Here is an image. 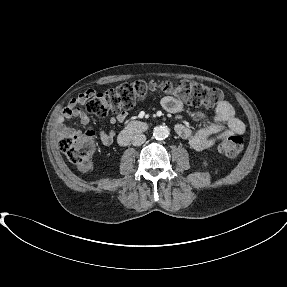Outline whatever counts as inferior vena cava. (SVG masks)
<instances>
[{
  "label": "inferior vena cava",
  "instance_id": "inferior-vena-cava-1",
  "mask_svg": "<svg viewBox=\"0 0 287 287\" xmlns=\"http://www.w3.org/2000/svg\"><path fill=\"white\" fill-rule=\"evenodd\" d=\"M146 141V136L144 134H135L133 137H132V144L134 146H140L142 145L144 142Z\"/></svg>",
  "mask_w": 287,
  "mask_h": 287
}]
</instances>
